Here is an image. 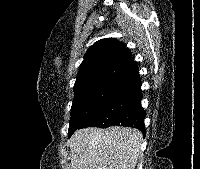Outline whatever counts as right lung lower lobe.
<instances>
[{
  "label": "right lung lower lobe",
  "instance_id": "1",
  "mask_svg": "<svg viewBox=\"0 0 200 169\" xmlns=\"http://www.w3.org/2000/svg\"><path fill=\"white\" fill-rule=\"evenodd\" d=\"M140 85L139 75L117 84L107 100L78 129L121 125L137 128L145 135L146 113L141 107Z\"/></svg>",
  "mask_w": 200,
  "mask_h": 169
}]
</instances>
